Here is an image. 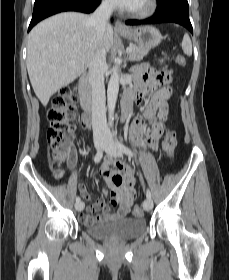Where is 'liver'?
<instances>
[{
	"label": "liver",
	"mask_w": 229,
	"mask_h": 280,
	"mask_svg": "<svg viewBox=\"0 0 229 280\" xmlns=\"http://www.w3.org/2000/svg\"><path fill=\"white\" fill-rule=\"evenodd\" d=\"M89 18L82 13H60L42 21L29 33L27 71L43 106L60 88L86 71L99 48L105 53L110 50L113 28L107 24L98 37Z\"/></svg>",
	"instance_id": "obj_1"
}]
</instances>
